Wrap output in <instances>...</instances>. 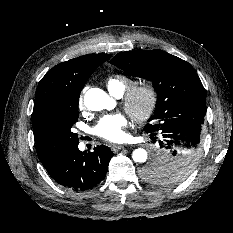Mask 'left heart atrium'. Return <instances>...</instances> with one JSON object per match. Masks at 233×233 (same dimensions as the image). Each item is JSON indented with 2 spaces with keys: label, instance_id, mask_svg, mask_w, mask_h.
<instances>
[{
  "label": "left heart atrium",
  "instance_id": "1",
  "mask_svg": "<svg viewBox=\"0 0 233 233\" xmlns=\"http://www.w3.org/2000/svg\"><path fill=\"white\" fill-rule=\"evenodd\" d=\"M126 117L121 114L105 115L93 128V133L111 142H118L125 138Z\"/></svg>",
  "mask_w": 233,
  "mask_h": 233
}]
</instances>
